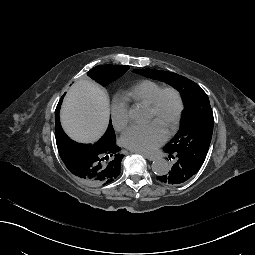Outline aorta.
<instances>
[{
	"mask_svg": "<svg viewBox=\"0 0 255 255\" xmlns=\"http://www.w3.org/2000/svg\"><path fill=\"white\" fill-rule=\"evenodd\" d=\"M129 116L131 120L139 122L145 119V112L142 108L135 107L130 110ZM152 171L158 176L167 174L169 172V164L167 160L163 158L154 160L152 163Z\"/></svg>",
	"mask_w": 255,
	"mask_h": 255,
	"instance_id": "aorta-1",
	"label": "aorta"
}]
</instances>
